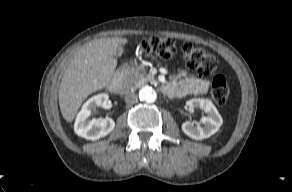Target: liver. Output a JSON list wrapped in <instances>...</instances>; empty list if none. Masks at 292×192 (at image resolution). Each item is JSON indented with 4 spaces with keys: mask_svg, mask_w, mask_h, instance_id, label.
Returning a JSON list of instances; mask_svg holds the SVG:
<instances>
[{
    "mask_svg": "<svg viewBox=\"0 0 292 192\" xmlns=\"http://www.w3.org/2000/svg\"><path fill=\"white\" fill-rule=\"evenodd\" d=\"M127 42L126 38H101L76 51L59 87L60 111L66 121H73L90 94L109 85L117 66L114 49Z\"/></svg>",
    "mask_w": 292,
    "mask_h": 192,
    "instance_id": "6515ba94",
    "label": "liver"
}]
</instances>
